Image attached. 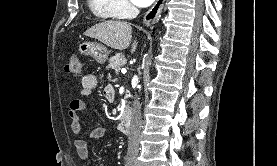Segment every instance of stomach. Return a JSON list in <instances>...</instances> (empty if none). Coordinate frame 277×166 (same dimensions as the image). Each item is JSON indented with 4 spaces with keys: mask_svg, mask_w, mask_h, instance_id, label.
Masks as SVG:
<instances>
[{
    "mask_svg": "<svg viewBox=\"0 0 277 166\" xmlns=\"http://www.w3.org/2000/svg\"><path fill=\"white\" fill-rule=\"evenodd\" d=\"M81 54L92 57L99 64H104L109 55L107 48L96 42H83L79 45Z\"/></svg>",
    "mask_w": 277,
    "mask_h": 166,
    "instance_id": "0dacf381",
    "label": "stomach"
}]
</instances>
